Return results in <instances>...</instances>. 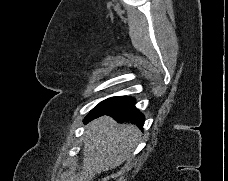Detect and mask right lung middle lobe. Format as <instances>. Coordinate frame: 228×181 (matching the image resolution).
I'll use <instances>...</instances> for the list:
<instances>
[{"mask_svg":"<svg viewBox=\"0 0 228 181\" xmlns=\"http://www.w3.org/2000/svg\"><path fill=\"white\" fill-rule=\"evenodd\" d=\"M114 98H115V97H114ZM114 98L106 99V100L102 101L100 104H98L96 107L102 106V105L106 104L107 102L111 101V100L114 99ZM96 107H95V108H96Z\"/></svg>","mask_w":228,"mask_h":181,"instance_id":"obj_1","label":"right lung middle lobe"}]
</instances>
